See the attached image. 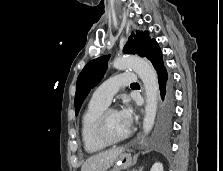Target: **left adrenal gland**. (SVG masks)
I'll return each mask as SVG.
<instances>
[{
  "label": "left adrenal gland",
  "instance_id": "1",
  "mask_svg": "<svg viewBox=\"0 0 223 171\" xmlns=\"http://www.w3.org/2000/svg\"><path fill=\"white\" fill-rule=\"evenodd\" d=\"M143 167H141L139 170H132V171H142Z\"/></svg>",
  "mask_w": 223,
  "mask_h": 171
}]
</instances>
